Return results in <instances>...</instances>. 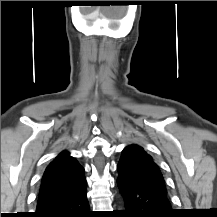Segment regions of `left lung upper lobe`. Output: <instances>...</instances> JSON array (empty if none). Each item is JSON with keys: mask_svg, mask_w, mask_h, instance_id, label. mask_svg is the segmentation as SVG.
Masks as SVG:
<instances>
[{"mask_svg": "<svg viewBox=\"0 0 217 217\" xmlns=\"http://www.w3.org/2000/svg\"><path fill=\"white\" fill-rule=\"evenodd\" d=\"M117 170L119 175L133 185L167 193L159 166L138 145H129L123 150Z\"/></svg>", "mask_w": 217, "mask_h": 217, "instance_id": "obj_1", "label": "left lung upper lobe"}]
</instances>
